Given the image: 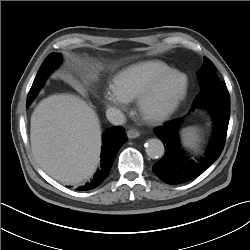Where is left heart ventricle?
<instances>
[{"label":"left heart ventricle","mask_w":250,"mask_h":250,"mask_svg":"<svg viewBox=\"0 0 250 250\" xmlns=\"http://www.w3.org/2000/svg\"><path fill=\"white\" fill-rule=\"evenodd\" d=\"M181 85L182 79L180 77H172L163 82L155 96L150 101L148 110L150 112L161 110L177 94Z\"/></svg>","instance_id":"1"}]
</instances>
